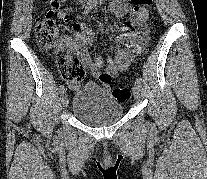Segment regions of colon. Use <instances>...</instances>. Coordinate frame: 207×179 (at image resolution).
<instances>
[{
    "label": "colon",
    "mask_w": 207,
    "mask_h": 179,
    "mask_svg": "<svg viewBox=\"0 0 207 179\" xmlns=\"http://www.w3.org/2000/svg\"><path fill=\"white\" fill-rule=\"evenodd\" d=\"M49 3L46 11L36 19L35 35L39 45L44 49H49L55 39L56 25L53 20L54 14L64 10L66 7L63 0H45ZM133 11L141 12L150 5L151 0H131ZM59 74L63 80L72 84H78L85 76V70L77 55L70 50H65L59 65ZM101 82L110 86L114 83L111 76L104 74ZM112 93L121 101H127L131 96V90L127 87H114Z\"/></svg>",
    "instance_id": "1"
}]
</instances>
